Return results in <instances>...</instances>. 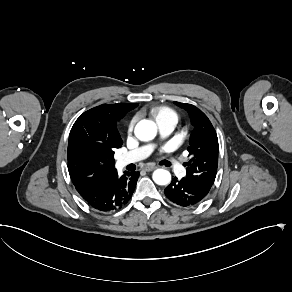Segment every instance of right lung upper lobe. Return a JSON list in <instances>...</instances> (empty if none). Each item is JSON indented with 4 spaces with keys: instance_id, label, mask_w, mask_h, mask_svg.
<instances>
[{
    "instance_id": "cb5924a9",
    "label": "right lung upper lobe",
    "mask_w": 292,
    "mask_h": 292,
    "mask_svg": "<svg viewBox=\"0 0 292 292\" xmlns=\"http://www.w3.org/2000/svg\"><path fill=\"white\" fill-rule=\"evenodd\" d=\"M138 104H103L84 112L74 123L68 141V171L74 178H101L117 172L105 159L123 141L117 122Z\"/></svg>"
}]
</instances>
